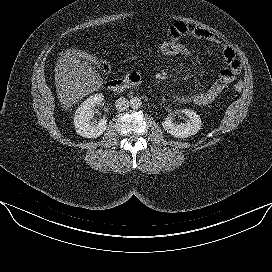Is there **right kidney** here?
<instances>
[{
  "mask_svg": "<svg viewBox=\"0 0 272 272\" xmlns=\"http://www.w3.org/2000/svg\"><path fill=\"white\" fill-rule=\"evenodd\" d=\"M104 95L97 93L83 101L74 115V126L76 132L84 138H97L107 128V120L100 119L97 123L93 121L94 108L103 102Z\"/></svg>",
  "mask_w": 272,
  "mask_h": 272,
  "instance_id": "ca27d5eb",
  "label": "right kidney"
}]
</instances>
